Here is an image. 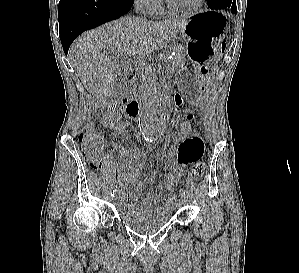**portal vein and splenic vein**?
I'll list each match as a JSON object with an SVG mask.
<instances>
[{
    "mask_svg": "<svg viewBox=\"0 0 299 273\" xmlns=\"http://www.w3.org/2000/svg\"><path fill=\"white\" fill-rule=\"evenodd\" d=\"M118 57H125V55L123 53H117Z\"/></svg>",
    "mask_w": 299,
    "mask_h": 273,
    "instance_id": "obj_1",
    "label": "portal vein and splenic vein"
}]
</instances>
